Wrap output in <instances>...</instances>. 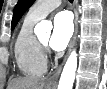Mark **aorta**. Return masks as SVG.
<instances>
[{
  "label": "aorta",
  "mask_w": 107,
  "mask_h": 89,
  "mask_svg": "<svg viewBox=\"0 0 107 89\" xmlns=\"http://www.w3.org/2000/svg\"><path fill=\"white\" fill-rule=\"evenodd\" d=\"M51 30H52V24L48 21L43 20L36 25L34 31L37 35L45 34L49 36ZM76 69H77V53L75 50H73L70 56L68 57L66 64L63 68L58 84V89H72L75 79Z\"/></svg>",
  "instance_id": "obj_1"
}]
</instances>
